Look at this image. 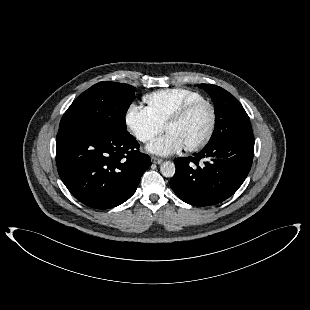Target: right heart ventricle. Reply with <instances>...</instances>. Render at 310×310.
Returning a JSON list of instances; mask_svg holds the SVG:
<instances>
[{"label":"right heart ventricle","instance_id":"obj_1","mask_svg":"<svg viewBox=\"0 0 310 310\" xmlns=\"http://www.w3.org/2000/svg\"><path fill=\"white\" fill-rule=\"evenodd\" d=\"M200 99L204 98L199 92L186 88L158 90L143 97L147 110L162 126L186 104Z\"/></svg>","mask_w":310,"mask_h":310}]
</instances>
